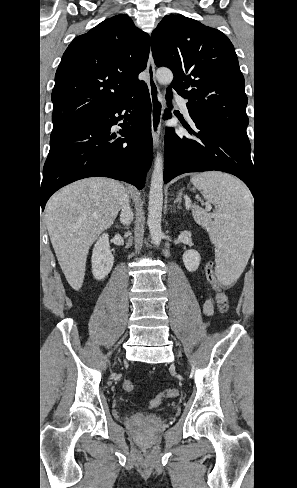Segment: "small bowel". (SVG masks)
<instances>
[{
    "label": "small bowel",
    "instance_id": "small-bowel-1",
    "mask_svg": "<svg viewBox=\"0 0 297 488\" xmlns=\"http://www.w3.org/2000/svg\"><path fill=\"white\" fill-rule=\"evenodd\" d=\"M214 305L211 299H206L203 303V311L205 315L210 316L213 314Z\"/></svg>",
    "mask_w": 297,
    "mask_h": 488
}]
</instances>
